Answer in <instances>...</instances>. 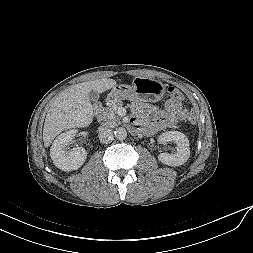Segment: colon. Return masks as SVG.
<instances>
[{"instance_id": "obj_1", "label": "colon", "mask_w": 253, "mask_h": 253, "mask_svg": "<svg viewBox=\"0 0 253 253\" xmlns=\"http://www.w3.org/2000/svg\"><path fill=\"white\" fill-rule=\"evenodd\" d=\"M168 92H169V94H170L173 98H175V99H177V100L182 99V93H181V91H180L178 88H176V87H174V86H169V87H168ZM187 119H188V121H189L191 124H195V123L197 122V116H196V114H195L194 112H190V113L188 114Z\"/></svg>"}]
</instances>
